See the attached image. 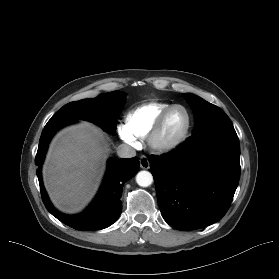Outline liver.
<instances>
[{"label": "liver", "instance_id": "1", "mask_svg": "<svg viewBox=\"0 0 279 279\" xmlns=\"http://www.w3.org/2000/svg\"><path fill=\"white\" fill-rule=\"evenodd\" d=\"M109 153L108 137L88 122L57 133L49 147L43 179L59 210L76 213L87 205L97 191Z\"/></svg>", "mask_w": 279, "mask_h": 279}]
</instances>
